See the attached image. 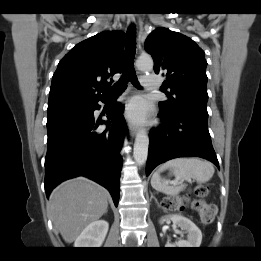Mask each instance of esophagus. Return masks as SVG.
<instances>
[{
    "label": "esophagus",
    "instance_id": "esophagus-1",
    "mask_svg": "<svg viewBox=\"0 0 261 261\" xmlns=\"http://www.w3.org/2000/svg\"><path fill=\"white\" fill-rule=\"evenodd\" d=\"M127 22L129 25L135 23V17L133 15L129 16L127 19ZM128 127H129L131 135L135 136L138 132V127L136 125L132 124L131 122H128Z\"/></svg>",
    "mask_w": 261,
    "mask_h": 261
}]
</instances>
